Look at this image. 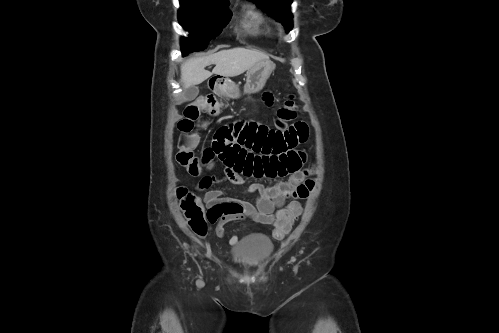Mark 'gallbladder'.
Here are the masks:
<instances>
[{"label":"gallbladder","mask_w":499,"mask_h":333,"mask_svg":"<svg viewBox=\"0 0 499 333\" xmlns=\"http://www.w3.org/2000/svg\"><path fill=\"white\" fill-rule=\"evenodd\" d=\"M198 93L199 90L196 86H191L184 90V96L188 101L194 100L197 97Z\"/></svg>","instance_id":"obj_1"}]
</instances>
